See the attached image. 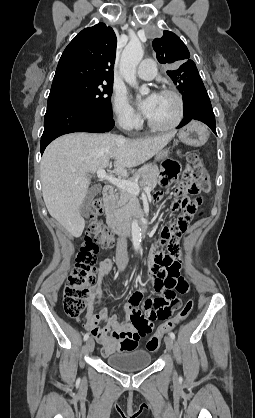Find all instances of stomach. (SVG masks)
<instances>
[{"instance_id": "1", "label": "stomach", "mask_w": 255, "mask_h": 418, "mask_svg": "<svg viewBox=\"0 0 255 418\" xmlns=\"http://www.w3.org/2000/svg\"><path fill=\"white\" fill-rule=\"evenodd\" d=\"M178 136L179 139L187 145L201 146L206 143L209 133L207 128L203 124L193 121L189 125L182 128L179 131ZM168 153V150L160 152L157 155L156 160L166 158L168 156Z\"/></svg>"}]
</instances>
